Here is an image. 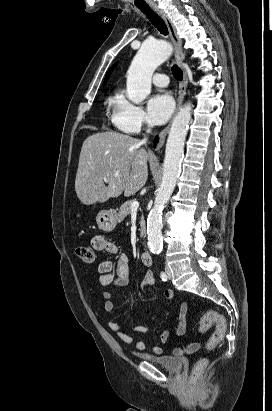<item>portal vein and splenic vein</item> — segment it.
<instances>
[{
  "label": "portal vein and splenic vein",
  "instance_id": "18ae733b",
  "mask_svg": "<svg viewBox=\"0 0 272 411\" xmlns=\"http://www.w3.org/2000/svg\"><path fill=\"white\" fill-rule=\"evenodd\" d=\"M104 181H107V178L104 179ZM139 208V202L138 201H133L131 204V210L136 211Z\"/></svg>",
  "mask_w": 272,
  "mask_h": 411
}]
</instances>
